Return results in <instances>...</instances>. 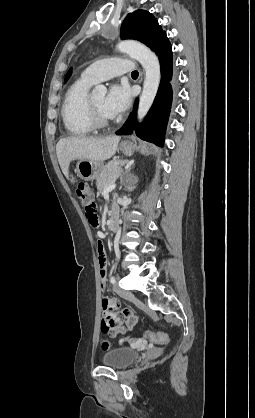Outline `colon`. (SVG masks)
Listing matches in <instances>:
<instances>
[{"mask_svg": "<svg viewBox=\"0 0 255 418\" xmlns=\"http://www.w3.org/2000/svg\"><path fill=\"white\" fill-rule=\"evenodd\" d=\"M74 191L75 195L80 201L81 205L83 206V209L85 211V215L90 223L91 226L97 227L98 226V217L96 213V204L93 201L92 198V191L90 187L83 183V182H77L74 185ZM146 337L156 343H166L168 341V336L163 332H153L148 331L146 332ZM127 338H123L120 340V342L127 341ZM112 345L109 341L104 340L102 342V349L103 350H109L111 349Z\"/></svg>", "mask_w": 255, "mask_h": 418, "instance_id": "5ec220e1", "label": "colon"}]
</instances>
